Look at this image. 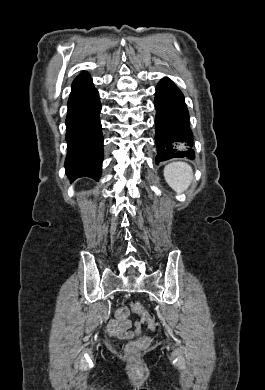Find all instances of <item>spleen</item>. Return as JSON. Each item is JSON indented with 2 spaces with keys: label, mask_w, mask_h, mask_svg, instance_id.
Returning <instances> with one entry per match:
<instances>
[{
  "label": "spleen",
  "mask_w": 265,
  "mask_h": 390,
  "mask_svg": "<svg viewBox=\"0 0 265 390\" xmlns=\"http://www.w3.org/2000/svg\"><path fill=\"white\" fill-rule=\"evenodd\" d=\"M164 178L174 191L181 193L191 184L193 170L185 162H172L164 168Z\"/></svg>",
  "instance_id": "3e777b00"
}]
</instances>
